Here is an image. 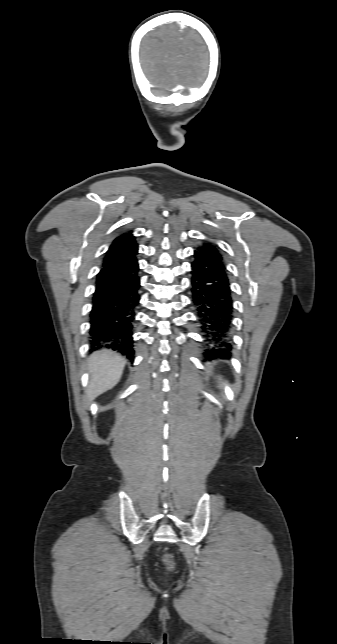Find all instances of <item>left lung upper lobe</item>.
Returning <instances> with one entry per match:
<instances>
[{
    "mask_svg": "<svg viewBox=\"0 0 337 644\" xmlns=\"http://www.w3.org/2000/svg\"><path fill=\"white\" fill-rule=\"evenodd\" d=\"M197 252H200L211 258H214L225 267L221 253L219 252L217 246L212 242L205 241L202 246L197 248Z\"/></svg>",
    "mask_w": 337,
    "mask_h": 644,
    "instance_id": "obj_1",
    "label": "left lung upper lobe"
}]
</instances>
